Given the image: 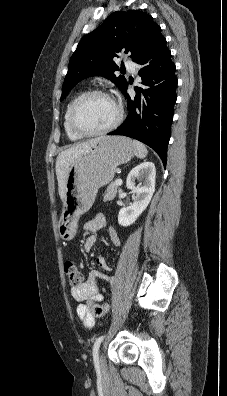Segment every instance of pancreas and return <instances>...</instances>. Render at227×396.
I'll use <instances>...</instances> for the list:
<instances>
[{"mask_svg":"<svg viewBox=\"0 0 227 396\" xmlns=\"http://www.w3.org/2000/svg\"><path fill=\"white\" fill-rule=\"evenodd\" d=\"M117 194V185L116 181L112 182L106 190V193L103 196L104 201H112Z\"/></svg>","mask_w":227,"mask_h":396,"instance_id":"pancreas-1","label":"pancreas"}]
</instances>
